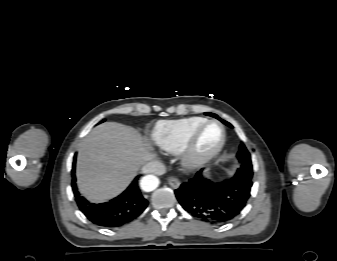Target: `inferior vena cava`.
Listing matches in <instances>:
<instances>
[{
  "label": "inferior vena cava",
  "instance_id": "1",
  "mask_svg": "<svg viewBox=\"0 0 337 261\" xmlns=\"http://www.w3.org/2000/svg\"><path fill=\"white\" fill-rule=\"evenodd\" d=\"M142 173H165V166L158 161H150L144 164L141 168Z\"/></svg>",
  "mask_w": 337,
  "mask_h": 261
}]
</instances>
